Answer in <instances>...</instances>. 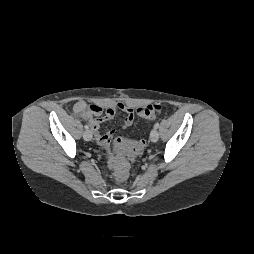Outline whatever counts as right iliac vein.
I'll list each match as a JSON object with an SVG mask.
<instances>
[{
	"label": "right iliac vein",
	"instance_id": "right-iliac-vein-1",
	"mask_svg": "<svg viewBox=\"0 0 254 254\" xmlns=\"http://www.w3.org/2000/svg\"><path fill=\"white\" fill-rule=\"evenodd\" d=\"M83 138L86 141H90L92 139V132L90 130H86L83 134Z\"/></svg>",
	"mask_w": 254,
	"mask_h": 254
}]
</instances>
